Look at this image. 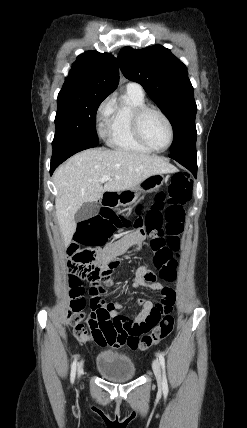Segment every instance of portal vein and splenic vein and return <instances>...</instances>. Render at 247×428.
<instances>
[{
  "mask_svg": "<svg viewBox=\"0 0 247 428\" xmlns=\"http://www.w3.org/2000/svg\"><path fill=\"white\" fill-rule=\"evenodd\" d=\"M110 179H111V176L105 175L100 179V182H105V181L110 180Z\"/></svg>",
  "mask_w": 247,
  "mask_h": 428,
  "instance_id": "portal-vein-and-splenic-vein-1",
  "label": "portal vein and splenic vein"
}]
</instances>
